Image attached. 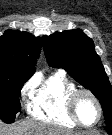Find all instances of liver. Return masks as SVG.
<instances>
[{"label": "liver", "mask_w": 112, "mask_h": 135, "mask_svg": "<svg viewBox=\"0 0 112 135\" xmlns=\"http://www.w3.org/2000/svg\"><path fill=\"white\" fill-rule=\"evenodd\" d=\"M0 135H77V134L49 125L47 123L28 120L11 126H6L0 121Z\"/></svg>", "instance_id": "liver-1"}]
</instances>
